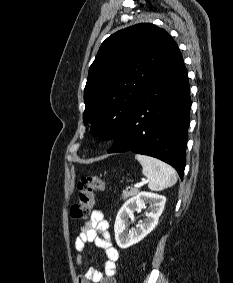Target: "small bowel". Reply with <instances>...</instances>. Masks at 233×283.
I'll return each instance as SVG.
<instances>
[{"label":"small bowel","instance_id":"obj_1","mask_svg":"<svg viewBox=\"0 0 233 283\" xmlns=\"http://www.w3.org/2000/svg\"><path fill=\"white\" fill-rule=\"evenodd\" d=\"M88 243L102 248L106 255L104 273L96 268H89L86 273L78 276V283H116V263L119 252L111 242L109 223L105 219L102 210H93L84 221L81 232L75 240L77 251L76 263L81 266L84 263V251Z\"/></svg>","mask_w":233,"mask_h":283}]
</instances>
